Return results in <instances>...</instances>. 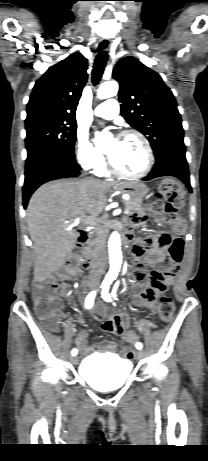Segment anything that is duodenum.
<instances>
[{
    "mask_svg": "<svg viewBox=\"0 0 208 461\" xmlns=\"http://www.w3.org/2000/svg\"><path fill=\"white\" fill-rule=\"evenodd\" d=\"M132 239V234L130 230L128 229L124 235H123V241L124 242H129ZM90 242V236L87 231L81 229L79 230V235H78V244L81 247H86L89 245ZM96 259V253H86L85 256L83 257V266L86 269H91L94 266Z\"/></svg>",
    "mask_w": 208,
    "mask_h": 461,
    "instance_id": "obj_1",
    "label": "duodenum"
}]
</instances>
